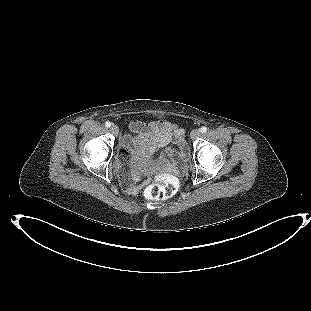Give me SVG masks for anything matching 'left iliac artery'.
Listing matches in <instances>:
<instances>
[{
    "label": "left iliac artery",
    "mask_w": 311,
    "mask_h": 311,
    "mask_svg": "<svg viewBox=\"0 0 311 311\" xmlns=\"http://www.w3.org/2000/svg\"><path fill=\"white\" fill-rule=\"evenodd\" d=\"M200 131H201L202 133H206V132H207V127H205V126L201 127V128H200Z\"/></svg>",
    "instance_id": "1"
}]
</instances>
